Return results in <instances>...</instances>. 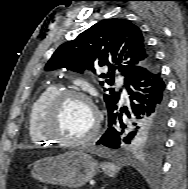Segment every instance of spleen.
Here are the masks:
<instances>
[{"instance_id": "obj_1", "label": "spleen", "mask_w": 188, "mask_h": 189, "mask_svg": "<svg viewBox=\"0 0 188 189\" xmlns=\"http://www.w3.org/2000/svg\"><path fill=\"white\" fill-rule=\"evenodd\" d=\"M103 171L110 177H115L119 172L120 167L110 162H104L101 164Z\"/></svg>"}]
</instances>
